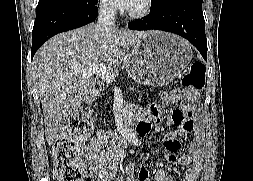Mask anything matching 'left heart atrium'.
<instances>
[{"label":"left heart atrium","instance_id":"1","mask_svg":"<svg viewBox=\"0 0 253 181\" xmlns=\"http://www.w3.org/2000/svg\"><path fill=\"white\" fill-rule=\"evenodd\" d=\"M139 0H115L116 4L124 10H132Z\"/></svg>","mask_w":253,"mask_h":181}]
</instances>
